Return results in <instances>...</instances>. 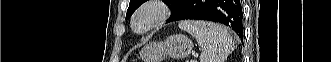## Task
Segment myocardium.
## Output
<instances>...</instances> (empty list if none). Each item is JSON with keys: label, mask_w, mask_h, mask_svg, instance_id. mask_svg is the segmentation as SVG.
Here are the masks:
<instances>
[{"label": "myocardium", "mask_w": 331, "mask_h": 62, "mask_svg": "<svg viewBox=\"0 0 331 62\" xmlns=\"http://www.w3.org/2000/svg\"><path fill=\"white\" fill-rule=\"evenodd\" d=\"M169 16L170 11L164 1H149L135 11L130 26L133 32L143 35L163 25Z\"/></svg>", "instance_id": "1"}]
</instances>
